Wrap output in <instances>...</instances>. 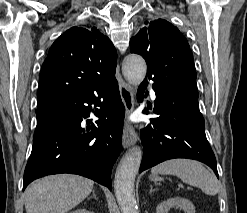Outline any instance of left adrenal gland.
<instances>
[{"mask_svg":"<svg viewBox=\"0 0 247 213\" xmlns=\"http://www.w3.org/2000/svg\"><path fill=\"white\" fill-rule=\"evenodd\" d=\"M157 189H155V188H153V186L151 185L150 186V191H149V193H151V192H153V191H156Z\"/></svg>","mask_w":247,"mask_h":213,"instance_id":"obj_1","label":"left adrenal gland"}]
</instances>
